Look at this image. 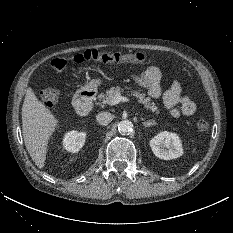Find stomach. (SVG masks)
<instances>
[{
  "mask_svg": "<svg viewBox=\"0 0 233 233\" xmlns=\"http://www.w3.org/2000/svg\"><path fill=\"white\" fill-rule=\"evenodd\" d=\"M101 84V79L97 78V79H92L90 82H88L86 85H85V89H88V90H94L97 88L98 85Z\"/></svg>",
  "mask_w": 233,
  "mask_h": 233,
  "instance_id": "0dacf381",
  "label": "stomach"
}]
</instances>
